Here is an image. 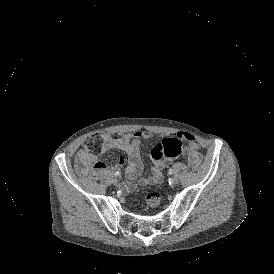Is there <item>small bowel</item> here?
<instances>
[{
  "label": "small bowel",
  "mask_w": 274,
  "mask_h": 274,
  "mask_svg": "<svg viewBox=\"0 0 274 274\" xmlns=\"http://www.w3.org/2000/svg\"><path fill=\"white\" fill-rule=\"evenodd\" d=\"M178 137L164 134H157L154 137V143L150 150V167L152 175L150 177H141L138 180L139 185L146 186L149 184H158L163 180L162 171L168 165L178 160L189 143V153L195 151L198 153L199 142L191 134L187 132H178ZM105 144L103 151L113 149L124 151L128 154V165L126 168L127 181L124 184L125 191H132L136 185L134 180L137 179L142 172V161L140 157V144L143 140H148L153 137V133L145 130H136L128 134L105 135ZM75 164L77 170L85 176L93 177L98 174H103L109 170V167L97 156L80 150L75 156ZM125 164V157H119L114 169H119Z\"/></svg>",
  "instance_id": "small-bowel-1"
}]
</instances>
